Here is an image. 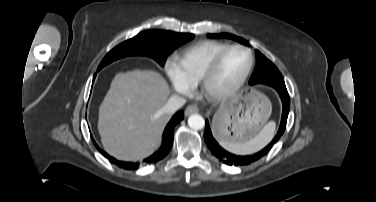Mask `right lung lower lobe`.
Here are the masks:
<instances>
[{"label":"right lung lower lobe","instance_id":"obj_1","mask_svg":"<svg viewBox=\"0 0 376 202\" xmlns=\"http://www.w3.org/2000/svg\"><path fill=\"white\" fill-rule=\"evenodd\" d=\"M184 113L182 111H178L170 120L168 125L166 126L164 133H163V140H162V145L160 149L155 152L152 156L147 158L145 161L147 163H154L157 162L161 159H163L170 151L172 144H173V136H174V128L175 126L183 119ZM93 140V139H92ZM94 145L96 148L100 151L102 155H104L106 158L109 159L111 163H114L118 165L119 167H122L124 169L128 170H134L138 168L137 163H132V162H123V161H117L115 158L109 156L106 152L101 150L98 145L95 143L93 140Z\"/></svg>","mask_w":376,"mask_h":202}]
</instances>
